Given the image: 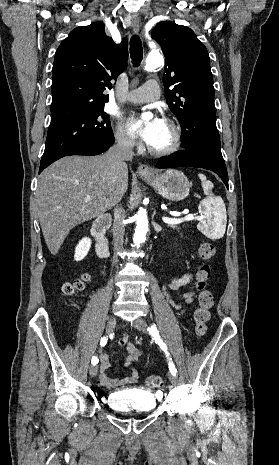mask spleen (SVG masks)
<instances>
[{
	"label": "spleen",
	"mask_w": 279,
	"mask_h": 465,
	"mask_svg": "<svg viewBox=\"0 0 279 465\" xmlns=\"http://www.w3.org/2000/svg\"><path fill=\"white\" fill-rule=\"evenodd\" d=\"M199 178L206 198L199 204L203 220L198 224V229L211 239H220L225 234L227 223L224 201L219 196L211 195L214 185L205 175L199 174Z\"/></svg>",
	"instance_id": "obj_1"
}]
</instances>
